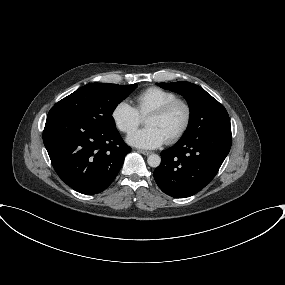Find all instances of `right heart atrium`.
I'll return each instance as SVG.
<instances>
[{"label": "right heart atrium", "mask_w": 285, "mask_h": 285, "mask_svg": "<svg viewBox=\"0 0 285 285\" xmlns=\"http://www.w3.org/2000/svg\"><path fill=\"white\" fill-rule=\"evenodd\" d=\"M111 118L116 128L122 133H132L141 123V116L126 101L118 102L112 109Z\"/></svg>", "instance_id": "right-heart-atrium-1"}]
</instances>
